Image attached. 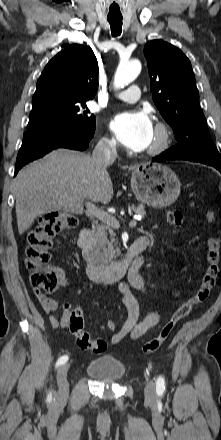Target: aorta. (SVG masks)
<instances>
[{"mask_svg": "<svg viewBox=\"0 0 221 440\" xmlns=\"http://www.w3.org/2000/svg\"><path fill=\"white\" fill-rule=\"evenodd\" d=\"M141 71V63L138 60L121 63L114 77L115 88H123L133 82Z\"/></svg>", "mask_w": 221, "mask_h": 440, "instance_id": "aorta-1", "label": "aorta"}]
</instances>
